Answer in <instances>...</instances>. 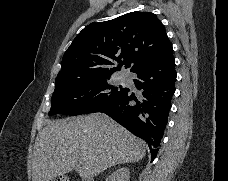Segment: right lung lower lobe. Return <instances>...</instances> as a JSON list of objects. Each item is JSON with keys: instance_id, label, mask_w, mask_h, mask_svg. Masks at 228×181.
Wrapping results in <instances>:
<instances>
[{"instance_id": "98d812e1", "label": "right lung lower lobe", "mask_w": 228, "mask_h": 181, "mask_svg": "<svg viewBox=\"0 0 228 181\" xmlns=\"http://www.w3.org/2000/svg\"><path fill=\"white\" fill-rule=\"evenodd\" d=\"M172 47L133 71L138 90L125 88L124 94L101 112L112 117L148 143L152 160L163 137L175 92V60Z\"/></svg>"}]
</instances>
